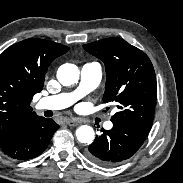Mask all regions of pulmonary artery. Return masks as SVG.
<instances>
[{
    "instance_id": "1",
    "label": "pulmonary artery",
    "mask_w": 183,
    "mask_h": 183,
    "mask_svg": "<svg viewBox=\"0 0 183 183\" xmlns=\"http://www.w3.org/2000/svg\"><path fill=\"white\" fill-rule=\"evenodd\" d=\"M102 78V67L98 62L86 63L81 68L79 86L73 92L60 93L42 98L36 104L38 110H60L71 106L77 100L91 92L100 83ZM106 129L113 127L112 122L104 124Z\"/></svg>"
}]
</instances>
